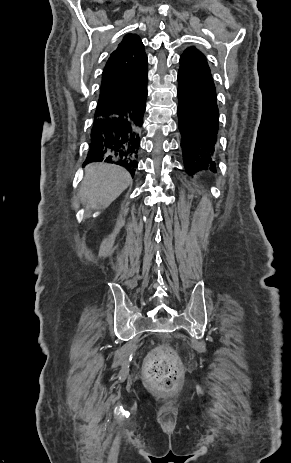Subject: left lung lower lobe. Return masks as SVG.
<instances>
[{
	"label": "left lung lower lobe",
	"instance_id": "0a47b994",
	"mask_svg": "<svg viewBox=\"0 0 291 463\" xmlns=\"http://www.w3.org/2000/svg\"><path fill=\"white\" fill-rule=\"evenodd\" d=\"M178 126L186 172L215 170L219 113L213 79L179 69Z\"/></svg>",
	"mask_w": 291,
	"mask_h": 463
}]
</instances>
